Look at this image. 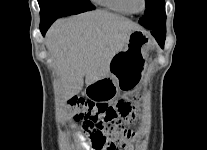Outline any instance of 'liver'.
<instances>
[{
  "label": "liver",
  "instance_id": "obj_1",
  "mask_svg": "<svg viewBox=\"0 0 207 150\" xmlns=\"http://www.w3.org/2000/svg\"><path fill=\"white\" fill-rule=\"evenodd\" d=\"M140 26L107 11L87 12L57 20L46 34L65 96L78 94L109 75L112 58L123 50L128 36Z\"/></svg>",
  "mask_w": 207,
  "mask_h": 150
}]
</instances>
